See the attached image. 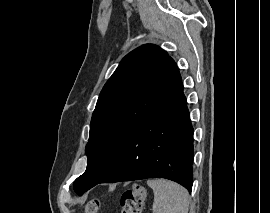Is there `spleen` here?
Segmentation results:
<instances>
[{
	"instance_id": "3e777b00",
	"label": "spleen",
	"mask_w": 270,
	"mask_h": 213,
	"mask_svg": "<svg viewBox=\"0 0 270 213\" xmlns=\"http://www.w3.org/2000/svg\"><path fill=\"white\" fill-rule=\"evenodd\" d=\"M147 185L154 192L153 213H188L189 198L184 187L165 179L148 180Z\"/></svg>"
}]
</instances>
